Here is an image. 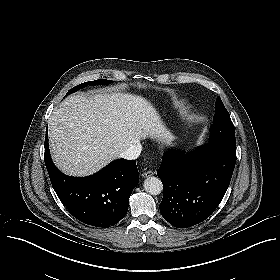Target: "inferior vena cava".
<instances>
[{
	"label": "inferior vena cava",
	"instance_id": "obj_1",
	"mask_svg": "<svg viewBox=\"0 0 280 280\" xmlns=\"http://www.w3.org/2000/svg\"><path fill=\"white\" fill-rule=\"evenodd\" d=\"M141 150H142L141 143L139 141H135L128 148L120 152L119 156L128 160L137 159L141 153Z\"/></svg>",
	"mask_w": 280,
	"mask_h": 280
}]
</instances>
